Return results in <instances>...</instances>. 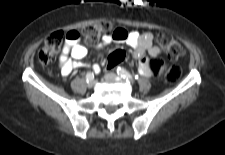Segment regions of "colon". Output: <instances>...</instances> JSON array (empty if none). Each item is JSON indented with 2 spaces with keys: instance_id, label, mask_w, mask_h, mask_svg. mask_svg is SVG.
Instances as JSON below:
<instances>
[{
  "instance_id": "obj_1",
  "label": "colon",
  "mask_w": 225,
  "mask_h": 155,
  "mask_svg": "<svg viewBox=\"0 0 225 155\" xmlns=\"http://www.w3.org/2000/svg\"><path fill=\"white\" fill-rule=\"evenodd\" d=\"M112 31L113 29L110 23L99 22L86 26L81 33L85 42L93 44ZM66 34L67 32L55 31L45 39L38 52V60L42 65H48L55 59L63 41H67ZM157 42L171 60H176L183 54L181 45L166 32L158 34ZM124 59L123 52L118 49L111 50L109 53V61L106 64L107 69L111 72L116 71ZM147 65L150 68L151 76L155 79L162 76L166 82L175 83L181 78L180 67L177 65L166 66L165 61L161 58L157 59L152 57L148 60Z\"/></svg>"
}]
</instances>
